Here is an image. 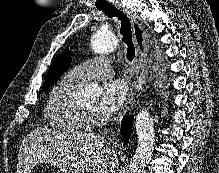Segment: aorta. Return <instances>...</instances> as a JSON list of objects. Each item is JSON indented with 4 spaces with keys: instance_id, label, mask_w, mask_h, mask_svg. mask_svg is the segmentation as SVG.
Returning <instances> with one entry per match:
<instances>
[{
    "instance_id": "aorta-1",
    "label": "aorta",
    "mask_w": 219,
    "mask_h": 173,
    "mask_svg": "<svg viewBox=\"0 0 219 173\" xmlns=\"http://www.w3.org/2000/svg\"><path fill=\"white\" fill-rule=\"evenodd\" d=\"M118 38L113 31L98 29L91 37V48L97 54H105L114 51L118 47ZM99 89L94 85H88L84 94L97 93ZM136 132L138 145L130 161L128 173H144L148 166L155 144L153 118L147 110L140 111L136 116Z\"/></svg>"
}]
</instances>
